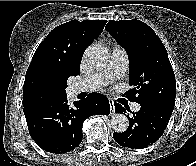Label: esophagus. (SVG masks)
<instances>
[{"label":"esophagus","mask_w":196,"mask_h":166,"mask_svg":"<svg viewBox=\"0 0 196 166\" xmlns=\"http://www.w3.org/2000/svg\"><path fill=\"white\" fill-rule=\"evenodd\" d=\"M109 104L111 106V114H114L115 113V105H114V101L113 99H109Z\"/></svg>","instance_id":"esophagus-1"}]
</instances>
